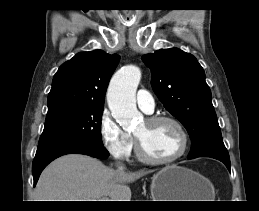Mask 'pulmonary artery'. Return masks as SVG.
<instances>
[{"mask_svg": "<svg viewBox=\"0 0 259 211\" xmlns=\"http://www.w3.org/2000/svg\"><path fill=\"white\" fill-rule=\"evenodd\" d=\"M137 104L145 113H152L155 108L153 96L145 89H140L137 92Z\"/></svg>", "mask_w": 259, "mask_h": 211, "instance_id": "obj_1", "label": "pulmonary artery"}]
</instances>
